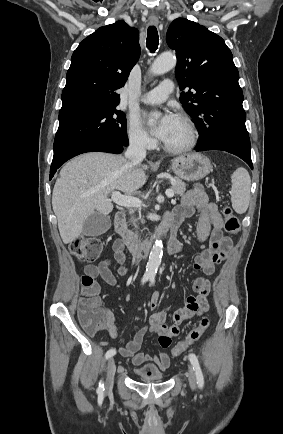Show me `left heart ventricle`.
Instances as JSON below:
<instances>
[{"mask_svg": "<svg viewBox=\"0 0 283 434\" xmlns=\"http://www.w3.org/2000/svg\"><path fill=\"white\" fill-rule=\"evenodd\" d=\"M187 137L188 133L185 124L177 118L176 125L165 142L171 146H180L186 142Z\"/></svg>", "mask_w": 283, "mask_h": 434, "instance_id": "obj_1", "label": "left heart ventricle"}]
</instances>
